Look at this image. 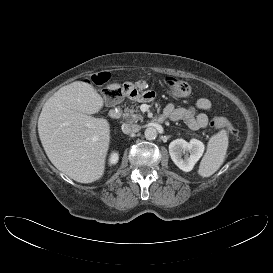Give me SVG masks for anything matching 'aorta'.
I'll list each match as a JSON object with an SVG mask.
<instances>
[{
	"instance_id": "aorta-1",
	"label": "aorta",
	"mask_w": 273,
	"mask_h": 273,
	"mask_svg": "<svg viewBox=\"0 0 273 273\" xmlns=\"http://www.w3.org/2000/svg\"><path fill=\"white\" fill-rule=\"evenodd\" d=\"M145 138L148 140H154L157 137V130L153 127L146 128L145 132Z\"/></svg>"
}]
</instances>
